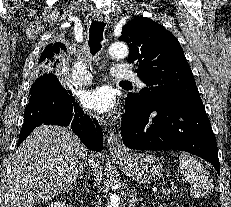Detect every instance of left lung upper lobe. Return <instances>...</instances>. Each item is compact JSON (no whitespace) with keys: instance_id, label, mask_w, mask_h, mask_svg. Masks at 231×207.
Wrapping results in <instances>:
<instances>
[{"instance_id":"left-lung-upper-lobe-1","label":"left lung upper lobe","mask_w":231,"mask_h":207,"mask_svg":"<svg viewBox=\"0 0 231 207\" xmlns=\"http://www.w3.org/2000/svg\"><path fill=\"white\" fill-rule=\"evenodd\" d=\"M119 40L130 47L128 62L137 66L146 84L140 93H128L132 109L172 106L201 100L183 49L171 32L145 17L128 22Z\"/></svg>"}]
</instances>
